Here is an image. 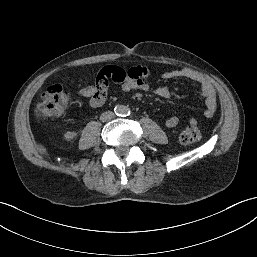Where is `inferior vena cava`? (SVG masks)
<instances>
[{
  "instance_id": "1",
  "label": "inferior vena cava",
  "mask_w": 257,
  "mask_h": 257,
  "mask_svg": "<svg viewBox=\"0 0 257 257\" xmlns=\"http://www.w3.org/2000/svg\"><path fill=\"white\" fill-rule=\"evenodd\" d=\"M113 117H114V113H113V112H111V111H106V112H104V113L101 114L100 120H101L102 122H106V121L111 120Z\"/></svg>"
}]
</instances>
